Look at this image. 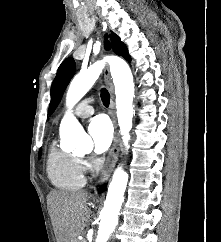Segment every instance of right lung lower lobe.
<instances>
[{
	"label": "right lung lower lobe",
	"mask_w": 221,
	"mask_h": 242,
	"mask_svg": "<svg viewBox=\"0 0 221 242\" xmlns=\"http://www.w3.org/2000/svg\"><path fill=\"white\" fill-rule=\"evenodd\" d=\"M103 190H104V187L101 188V191H103Z\"/></svg>",
	"instance_id": "1"
}]
</instances>
